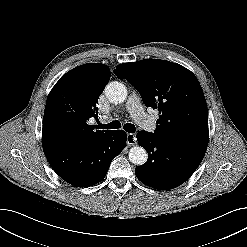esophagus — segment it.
I'll return each instance as SVG.
<instances>
[{"instance_id":"34e87169","label":"esophagus","mask_w":247,"mask_h":247,"mask_svg":"<svg viewBox=\"0 0 247 247\" xmlns=\"http://www.w3.org/2000/svg\"><path fill=\"white\" fill-rule=\"evenodd\" d=\"M136 141H137V139H136L135 134H133V133H127L126 142H127V145H128V146H133V145H135V144H136Z\"/></svg>"}]
</instances>
